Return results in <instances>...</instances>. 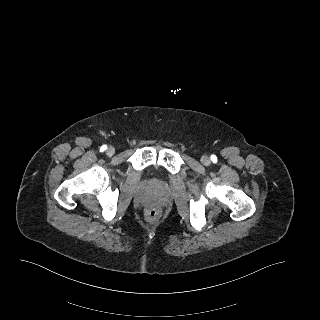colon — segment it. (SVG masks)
I'll return each mask as SVG.
<instances>
[{
    "instance_id": "colon-1",
    "label": "colon",
    "mask_w": 320,
    "mask_h": 320,
    "mask_svg": "<svg viewBox=\"0 0 320 320\" xmlns=\"http://www.w3.org/2000/svg\"><path fill=\"white\" fill-rule=\"evenodd\" d=\"M160 216V212L156 208H149L146 210V217L149 221H156Z\"/></svg>"
}]
</instances>
